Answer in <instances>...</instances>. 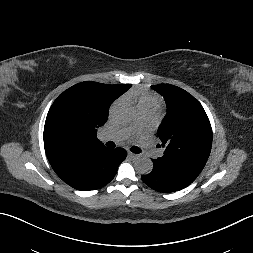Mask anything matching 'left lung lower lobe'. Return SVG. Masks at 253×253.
Listing matches in <instances>:
<instances>
[{"label": "left lung lower lobe", "mask_w": 253, "mask_h": 253, "mask_svg": "<svg viewBox=\"0 0 253 253\" xmlns=\"http://www.w3.org/2000/svg\"><path fill=\"white\" fill-rule=\"evenodd\" d=\"M153 161V170L141 177L150 188L159 192H174L190 185L200 173L185 167L157 159Z\"/></svg>", "instance_id": "0a47b994"}]
</instances>
